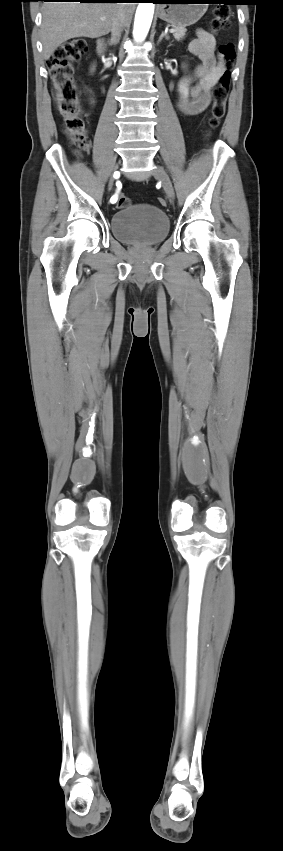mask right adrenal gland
<instances>
[{
  "instance_id": "2a0ac1e0",
  "label": "right adrenal gland",
  "mask_w": 283,
  "mask_h": 851,
  "mask_svg": "<svg viewBox=\"0 0 283 851\" xmlns=\"http://www.w3.org/2000/svg\"><path fill=\"white\" fill-rule=\"evenodd\" d=\"M109 45H113V43H112V41H111V40L109 41Z\"/></svg>"
}]
</instances>
